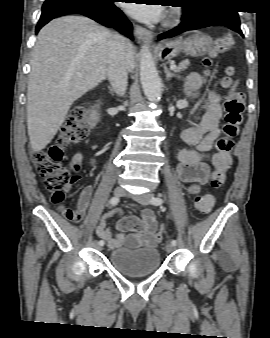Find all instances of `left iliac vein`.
<instances>
[{
    "mask_svg": "<svg viewBox=\"0 0 270 338\" xmlns=\"http://www.w3.org/2000/svg\"><path fill=\"white\" fill-rule=\"evenodd\" d=\"M131 198H133L135 201H137L138 203L142 204V205H149L151 202V198L153 197L152 193H145L142 195H137V196H131V195H127ZM175 246L172 244H167L166 245V252L167 253H171L172 251H174Z\"/></svg>",
    "mask_w": 270,
    "mask_h": 338,
    "instance_id": "obj_1",
    "label": "left iliac vein"
}]
</instances>
